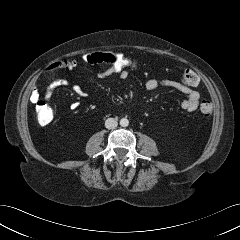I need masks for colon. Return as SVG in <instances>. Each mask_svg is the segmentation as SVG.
Masks as SVG:
<instances>
[{"mask_svg": "<svg viewBox=\"0 0 240 240\" xmlns=\"http://www.w3.org/2000/svg\"><path fill=\"white\" fill-rule=\"evenodd\" d=\"M83 60L89 64L109 66L115 72L125 71L128 73L139 67V61L137 58L109 51L87 53L83 56ZM180 82L186 87H195L199 83V77L196 72L187 69L182 73ZM199 110L207 117L212 112V105L209 101L204 100L200 104ZM35 112L37 120L41 125H47L53 120V110L43 101H37L35 103Z\"/></svg>", "mask_w": 240, "mask_h": 240, "instance_id": "colon-1", "label": "colon"}]
</instances>
